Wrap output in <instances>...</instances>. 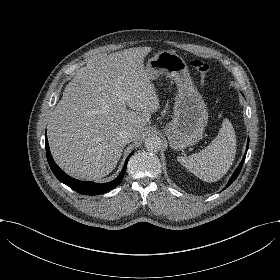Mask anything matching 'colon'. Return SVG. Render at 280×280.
Returning a JSON list of instances; mask_svg holds the SVG:
<instances>
[{"instance_id":"1","label":"colon","mask_w":280,"mask_h":280,"mask_svg":"<svg viewBox=\"0 0 280 280\" xmlns=\"http://www.w3.org/2000/svg\"><path fill=\"white\" fill-rule=\"evenodd\" d=\"M190 66L194 71L198 72L203 77H206L209 71L208 64L199 59H193L190 62Z\"/></svg>"}]
</instances>
